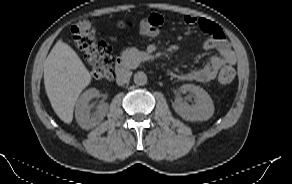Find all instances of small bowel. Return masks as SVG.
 <instances>
[{
	"mask_svg": "<svg viewBox=\"0 0 292 184\" xmlns=\"http://www.w3.org/2000/svg\"><path fill=\"white\" fill-rule=\"evenodd\" d=\"M157 16L163 23V16ZM184 22L188 25L198 26L209 37L203 42L202 47L205 50H216L217 54L212 55L206 65L202 68L192 70L186 73H175L174 76L184 81H195L199 83H208L215 79L219 69L226 64L232 65L236 62V56L232 50L222 29L214 22L205 18H197L192 15H185Z\"/></svg>",
	"mask_w": 292,
	"mask_h": 184,
	"instance_id": "small-bowel-1",
	"label": "small bowel"
}]
</instances>
